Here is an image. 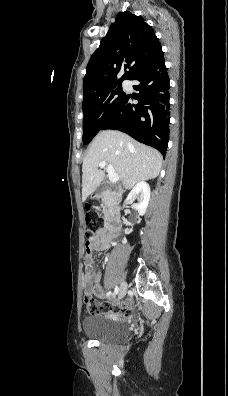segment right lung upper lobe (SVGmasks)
Masks as SVG:
<instances>
[{"instance_id":"cb5924a9","label":"right lung upper lobe","mask_w":228,"mask_h":396,"mask_svg":"<svg viewBox=\"0 0 228 396\" xmlns=\"http://www.w3.org/2000/svg\"><path fill=\"white\" fill-rule=\"evenodd\" d=\"M159 46L154 30L143 18L129 11L119 13L89 60L83 82L84 96L125 79L132 80ZM122 69L125 73L117 81Z\"/></svg>"}]
</instances>
